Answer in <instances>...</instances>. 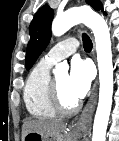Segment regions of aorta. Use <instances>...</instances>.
<instances>
[{
  "label": "aorta",
  "mask_w": 119,
  "mask_h": 141,
  "mask_svg": "<svg viewBox=\"0 0 119 141\" xmlns=\"http://www.w3.org/2000/svg\"><path fill=\"white\" fill-rule=\"evenodd\" d=\"M79 23L85 24L94 33L99 68V102L94 119L92 141H105L113 96V65L108 25L102 16L89 8H72L54 18L52 33L54 36H61ZM67 70L68 65L61 63L56 66L54 72Z\"/></svg>",
  "instance_id": "1"
}]
</instances>
